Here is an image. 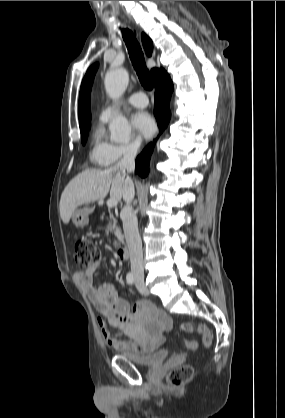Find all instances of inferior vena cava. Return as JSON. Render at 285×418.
I'll return each instance as SVG.
<instances>
[{
    "instance_id": "1",
    "label": "inferior vena cava",
    "mask_w": 285,
    "mask_h": 418,
    "mask_svg": "<svg viewBox=\"0 0 285 418\" xmlns=\"http://www.w3.org/2000/svg\"><path fill=\"white\" fill-rule=\"evenodd\" d=\"M137 151L138 146L136 144H132L126 149L123 158L114 167L117 175L125 178L127 173L134 171ZM134 195V184L131 178L127 175L123 186V200L126 205L122 210L121 218L130 254L131 272L134 276H143L144 268L142 242L138 232L137 217L131 206Z\"/></svg>"
}]
</instances>
